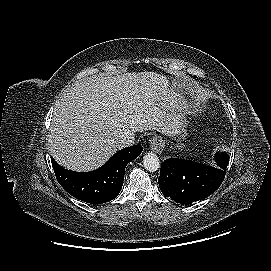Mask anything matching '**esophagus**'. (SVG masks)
Returning a JSON list of instances; mask_svg holds the SVG:
<instances>
[{
	"mask_svg": "<svg viewBox=\"0 0 271 271\" xmlns=\"http://www.w3.org/2000/svg\"><path fill=\"white\" fill-rule=\"evenodd\" d=\"M149 144H150L149 145L150 149L153 152L158 153V154L162 152V143L158 137H153L152 139H150Z\"/></svg>",
	"mask_w": 271,
	"mask_h": 271,
	"instance_id": "obj_1",
	"label": "esophagus"
}]
</instances>
